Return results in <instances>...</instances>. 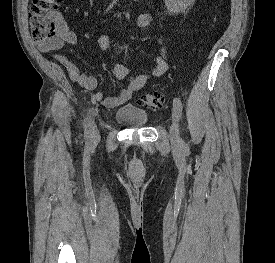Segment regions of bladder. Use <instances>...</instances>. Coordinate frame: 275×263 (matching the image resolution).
Segmentation results:
<instances>
[{
	"mask_svg": "<svg viewBox=\"0 0 275 263\" xmlns=\"http://www.w3.org/2000/svg\"><path fill=\"white\" fill-rule=\"evenodd\" d=\"M114 119L127 127H143L148 121V114L132 104H123L116 110Z\"/></svg>",
	"mask_w": 275,
	"mask_h": 263,
	"instance_id": "bladder-1",
	"label": "bladder"
}]
</instances>
